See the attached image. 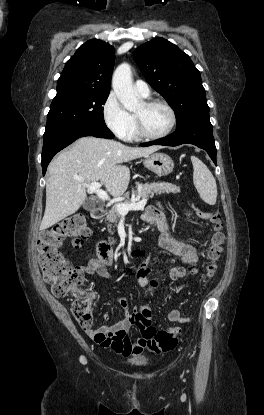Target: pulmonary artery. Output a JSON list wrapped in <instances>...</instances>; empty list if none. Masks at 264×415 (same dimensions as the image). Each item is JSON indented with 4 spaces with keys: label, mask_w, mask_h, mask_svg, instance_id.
Wrapping results in <instances>:
<instances>
[{
    "label": "pulmonary artery",
    "mask_w": 264,
    "mask_h": 415,
    "mask_svg": "<svg viewBox=\"0 0 264 415\" xmlns=\"http://www.w3.org/2000/svg\"><path fill=\"white\" fill-rule=\"evenodd\" d=\"M134 87L141 96L148 97L150 95V88L146 82L142 80H136L134 82Z\"/></svg>",
    "instance_id": "pulmonary-artery-1"
}]
</instances>
